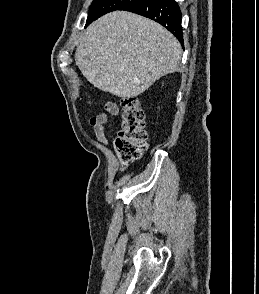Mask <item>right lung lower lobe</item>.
<instances>
[{
	"label": "right lung lower lobe",
	"mask_w": 259,
	"mask_h": 294,
	"mask_svg": "<svg viewBox=\"0 0 259 294\" xmlns=\"http://www.w3.org/2000/svg\"><path fill=\"white\" fill-rule=\"evenodd\" d=\"M121 10L130 11L160 23L183 43L181 11L175 0H136Z\"/></svg>",
	"instance_id": "obj_1"
}]
</instances>
